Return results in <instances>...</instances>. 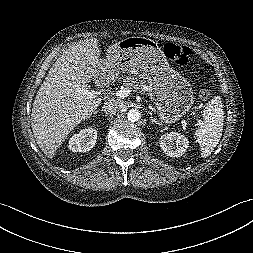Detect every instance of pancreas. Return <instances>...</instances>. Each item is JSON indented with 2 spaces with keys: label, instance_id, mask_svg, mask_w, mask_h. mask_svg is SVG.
I'll return each mask as SVG.
<instances>
[{
  "label": "pancreas",
  "instance_id": "obj_1",
  "mask_svg": "<svg viewBox=\"0 0 253 253\" xmlns=\"http://www.w3.org/2000/svg\"><path fill=\"white\" fill-rule=\"evenodd\" d=\"M123 85L124 87L133 89L134 91L141 90L145 92L147 84L145 80H140L135 76H128L126 79H124Z\"/></svg>",
  "mask_w": 253,
  "mask_h": 253
}]
</instances>
